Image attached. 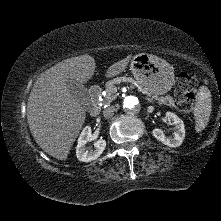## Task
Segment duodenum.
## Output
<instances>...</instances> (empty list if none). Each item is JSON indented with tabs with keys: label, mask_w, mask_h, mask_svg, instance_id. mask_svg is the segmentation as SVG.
Segmentation results:
<instances>
[{
	"label": "duodenum",
	"mask_w": 221,
	"mask_h": 221,
	"mask_svg": "<svg viewBox=\"0 0 221 221\" xmlns=\"http://www.w3.org/2000/svg\"><path fill=\"white\" fill-rule=\"evenodd\" d=\"M101 93H102V88L99 85H94L90 89V98H91L90 114L92 116H96L100 112Z\"/></svg>",
	"instance_id": "duodenum-1"
}]
</instances>
